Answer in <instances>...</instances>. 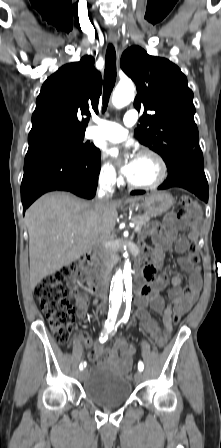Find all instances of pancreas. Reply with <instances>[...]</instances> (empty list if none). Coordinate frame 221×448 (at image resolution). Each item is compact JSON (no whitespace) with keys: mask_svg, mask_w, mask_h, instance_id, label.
<instances>
[{"mask_svg":"<svg viewBox=\"0 0 221 448\" xmlns=\"http://www.w3.org/2000/svg\"><path fill=\"white\" fill-rule=\"evenodd\" d=\"M149 220H150V216L147 215V214H145V215H138V216H135V217H133L131 219V221L134 224H136V225H138L140 227L146 226L147 223L149 222Z\"/></svg>","mask_w":221,"mask_h":448,"instance_id":"cf45deb5","label":"pancreas"}]
</instances>
